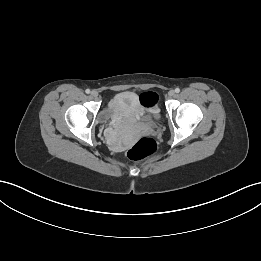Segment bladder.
<instances>
[{
  "label": "bladder",
  "mask_w": 261,
  "mask_h": 261,
  "mask_svg": "<svg viewBox=\"0 0 261 261\" xmlns=\"http://www.w3.org/2000/svg\"><path fill=\"white\" fill-rule=\"evenodd\" d=\"M108 113L119 125H152L159 118L155 112L145 110L142 99L132 91L117 93L110 101Z\"/></svg>",
  "instance_id": "1"
}]
</instances>
